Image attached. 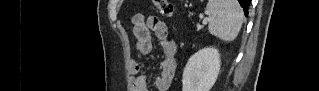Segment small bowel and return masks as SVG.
<instances>
[{
  "instance_id": "small-bowel-1",
  "label": "small bowel",
  "mask_w": 319,
  "mask_h": 91,
  "mask_svg": "<svg viewBox=\"0 0 319 91\" xmlns=\"http://www.w3.org/2000/svg\"><path fill=\"white\" fill-rule=\"evenodd\" d=\"M134 34L136 37V50L141 55H148L152 51V36L154 33L160 42L162 49V60L160 62V73L154 79L153 89L156 91H168L176 71V41L169 36L167 25L155 16L137 14L133 17ZM141 65L134 60L131 64V72L136 75L132 79L133 91H150L148 78L138 74Z\"/></svg>"
}]
</instances>
